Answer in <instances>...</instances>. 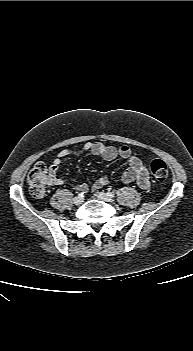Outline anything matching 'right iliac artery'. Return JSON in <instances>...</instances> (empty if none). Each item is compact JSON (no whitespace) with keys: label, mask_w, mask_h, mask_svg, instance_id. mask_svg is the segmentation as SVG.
Returning <instances> with one entry per match:
<instances>
[{"label":"right iliac artery","mask_w":193,"mask_h":351,"mask_svg":"<svg viewBox=\"0 0 193 351\" xmlns=\"http://www.w3.org/2000/svg\"><path fill=\"white\" fill-rule=\"evenodd\" d=\"M83 192H80L79 194H78V196H80V197H83Z\"/></svg>","instance_id":"1"}]
</instances>
